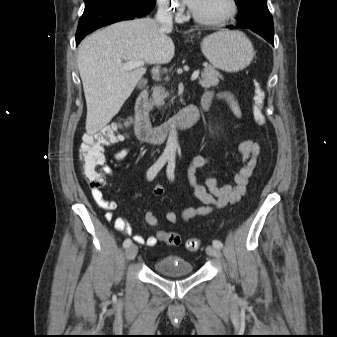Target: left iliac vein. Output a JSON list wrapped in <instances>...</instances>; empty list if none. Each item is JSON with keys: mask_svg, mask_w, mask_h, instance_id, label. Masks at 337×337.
Returning a JSON list of instances; mask_svg holds the SVG:
<instances>
[{"mask_svg": "<svg viewBox=\"0 0 337 337\" xmlns=\"http://www.w3.org/2000/svg\"><path fill=\"white\" fill-rule=\"evenodd\" d=\"M206 252L209 256L215 257V258H220L221 257V251L220 249L214 247V246H208L206 248Z\"/></svg>", "mask_w": 337, "mask_h": 337, "instance_id": "4c4485c4", "label": "left iliac vein"}]
</instances>
